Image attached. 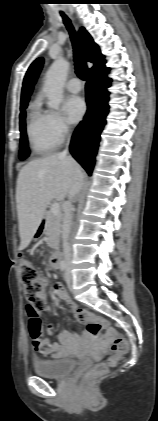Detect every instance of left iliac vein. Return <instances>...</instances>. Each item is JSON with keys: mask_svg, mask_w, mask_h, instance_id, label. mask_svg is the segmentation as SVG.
<instances>
[{"mask_svg": "<svg viewBox=\"0 0 158 421\" xmlns=\"http://www.w3.org/2000/svg\"><path fill=\"white\" fill-rule=\"evenodd\" d=\"M64 278H65V281L67 282V284H70L71 283L72 276H71V272H70V268L69 267L65 271Z\"/></svg>", "mask_w": 158, "mask_h": 421, "instance_id": "obj_1", "label": "left iliac vein"}]
</instances>
